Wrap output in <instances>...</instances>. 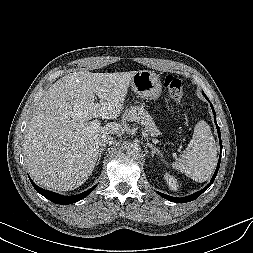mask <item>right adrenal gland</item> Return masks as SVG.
Returning <instances> with one entry per match:
<instances>
[{
    "mask_svg": "<svg viewBox=\"0 0 253 253\" xmlns=\"http://www.w3.org/2000/svg\"><path fill=\"white\" fill-rule=\"evenodd\" d=\"M106 149V147H102V148H100V151H99V156H98V160H97V165L99 164V161H100V159H101V156H102V154H103V151Z\"/></svg>",
    "mask_w": 253,
    "mask_h": 253,
    "instance_id": "obj_1",
    "label": "right adrenal gland"
}]
</instances>
